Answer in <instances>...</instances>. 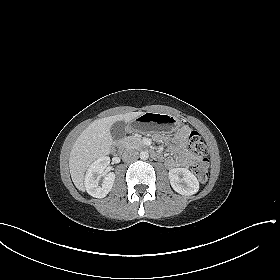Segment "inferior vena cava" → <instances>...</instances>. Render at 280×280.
<instances>
[{
	"instance_id": "obj_1",
	"label": "inferior vena cava",
	"mask_w": 280,
	"mask_h": 280,
	"mask_svg": "<svg viewBox=\"0 0 280 280\" xmlns=\"http://www.w3.org/2000/svg\"><path fill=\"white\" fill-rule=\"evenodd\" d=\"M138 159V152L135 150H127L122 155L124 162H133Z\"/></svg>"
}]
</instances>
